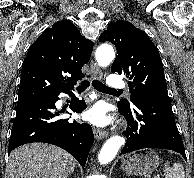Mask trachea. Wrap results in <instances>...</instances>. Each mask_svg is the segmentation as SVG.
<instances>
[{
  "label": "trachea",
  "mask_w": 194,
  "mask_h": 178,
  "mask_svg": "<svg viewBox=\"0 0 194 178\" xmlns=\"http://www.w3.org/2000/svg\"><path fill=\"white\" fill-rule=\"evenodd\" d=\"M90 82L88 80H84L77 88L76 90L79 92L84 91L88 86H89ZM92 86L101 92H120L121 90H116V89H112L108 86H106L105 84L99 82L98 80H93L92 81Z\"/></svg>",
  "instance_id": "3493384b"
}]
</instances>
